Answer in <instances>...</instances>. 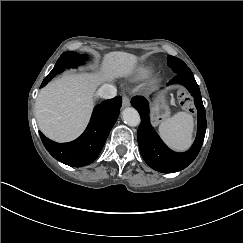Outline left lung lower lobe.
I'll return each mask as SVG.
<instances>
[{
    "label": "left lung lower lobe",
    "mask_w": 243,
    "mask_h": 243,
    "mask_svg": "<svg viewBox=\"0 0 243 243\" xmlns=\"http://www.w3.org/2000/svg\"><path fill=\"white\" fill-rule=\"evenodd\" d=\"M174 82L182 84L189 90L194 97V102L198 110L197 136L192 147L187 152H174L162 142L150 125L148 101L145 98L135 96L131 100L132 106L138 110L142 120L137 132L141 155L152 169L162 173L177 172L191 164L201 149L206 132L205 108L199 86L193 74L176 73V76L168 85Z\"/></svg>",
    "instance_id": "obj_1"
}]
</instances>
